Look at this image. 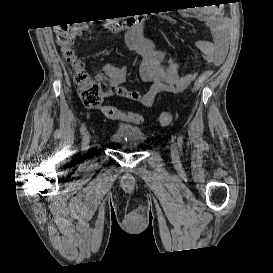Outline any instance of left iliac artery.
<instances>
[{
    "instance_id": "obj_1",
    "label": "left iliac artery",
    "mask_w": 273,
    "mask_h": 273,
    "mask_svg": "<svg viewBox=\"0 0 273 273\" xmlns=\"http://www.w3.org/2000/svg\"><path fill=\"white\" fill-rule=\"evenodd\" d=\"M177 143H178L179 150L181 152L182 148H183V138H182V136H180V135L178 136Z\"/></svg>"
}]
</instances>
